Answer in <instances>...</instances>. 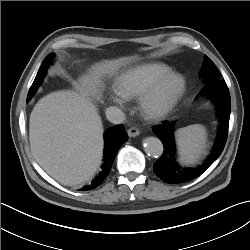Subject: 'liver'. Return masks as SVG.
I'll list each match as a JSON object with an SVG mask.
<instances>
[{
  "mask_svg": "<svg viewBox=\"0 0 250 250\" xmlns=\"http://www.w3.org/2000/svg\"><path fill=\"white\" fill-rule=\"evenodd\" d=\"M126 60L98 63L79 78L75 90L52 92L34 106L29 121L31 151L41 168L59 183L79 185L100 166L103 125L89 96L96 92L103 73Z\"/></svg>",
  "mask_w": 250,
  "mask_h": 250,
  "instance_id": "6515ba94",
  "label": "liver"
}]
</instances>
